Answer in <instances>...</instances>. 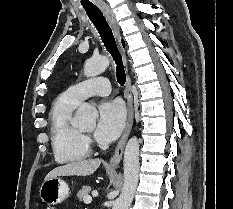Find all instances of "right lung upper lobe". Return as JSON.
Here are the masks:
<instances>
[{
  "label": "right lung upper lobe",
  "mask_w": 233,
  "mask_h": 209,
  "mask_svg": "<svg viewBox=\"0 0 233 209\" xmlns=\"http://www.w3.org/2000/svg\"><path fill=\"white\" fill-rule=\"evenodd\" d=\"M122 44H123V46H124V41L122 40Z\"/></svg>",
  "instance_id": "obj_1"
}]
</instances>
